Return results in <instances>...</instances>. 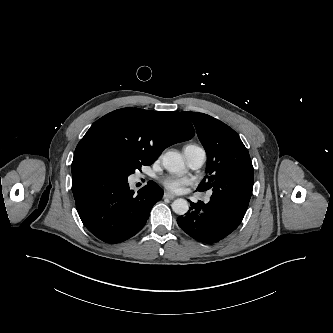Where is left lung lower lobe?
I'll use <instances>...</instances> for the list:
<instances>
[{"instance_id":"obj_1","label":"left lung lower lobe","mask_w":333,"mask_h":333,"mask_svg":"<svg viewBox=\"0 0 333 333\" xmlns=\"http://www.w3.org/2000/svg\"><path fill=\"white\" fill-rule=\"evenodd\" d=\"M235 167L219 176L207 204L192 203L191 210L178 217V225L192 238L202 243H215L241 223L252 195L254 169L251 160Z\"/></svg>"}]
</instances>
